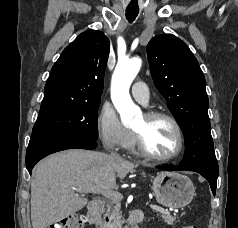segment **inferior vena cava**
<instances>
[{
  "label": "inferior vena cava",
  "mask_w": 238,
  "mask_h": 228,
  "mask_svg": "<svg viewBox=\"0 0 238 228\" xmlns=\"http://www.w3.org/2000/svg\"><path fill=\"white\" fill-rule=\"evenodd\" d=\"M111 155H112V156H118V155H117V154H115V153H112Z\"/></svg>",
  "instance_id": "602c4592"
}]
</instances>
